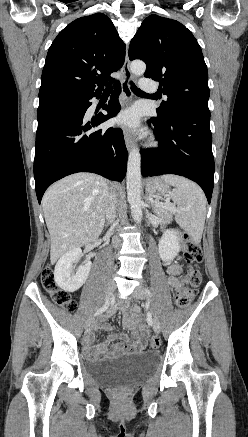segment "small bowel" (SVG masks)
<instances>
[{
  "instance_id": "obj_1",
  "label": "small bowel",
  "mask_w": 248,
  "mask_h": 437,
  "mask_svg": "<svg viewBox=\"0 0 248 437\" xmlns=\"http://www.w3.org/2000/svg\"><path fill=\"white\" fill-rule=\"evenodd\" d=\"M167 272L169 275L168 278L169 284L177 290L180 286L179 281L177 279V274L180 272V266L176 264L170 265L168 267ZM113 314H114V310L110 309L107 312L106 316L110 317ZM127 326L132 329L135 327V324L132 320H128ZM100 327L109 332L108 340L104 343L94 345L93 333H88L83 340L85 354L88 358L100 360L108 357L109 355L113 356L123 352H140L143 350L144 348L143 337L145 336V329L143 327H140L138 331H135L132 337H128L123 333L114 331L107 324H100ZM116 339H120L124 342H119L114 344L111 350L109 351L108 347L110 342Z\"/></svg>"
}]
</instances>
